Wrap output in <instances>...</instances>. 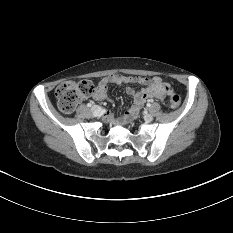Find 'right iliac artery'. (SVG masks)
<instances>
[{"mask_svg":"<svg viewBox=\"0 0 233 233\" xmlns=\"http://www.w3.org/2000/svg\"><path fill=\"white\" fill-rule=\"evenodd\" d=\"M93 105V103H88L87 106L88 107H91Z\"/></svg>","mask_w":233,"mask_h":233,"instance_id":"obj_1","label":"right iliac artery"}]
</instances>
